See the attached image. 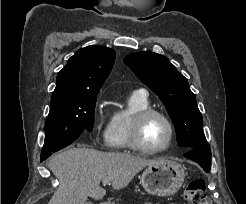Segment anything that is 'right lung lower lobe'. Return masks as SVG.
<instances>
[{"label":"right lung lower lobe","instance_id":"1","mask_svg":"<svg viewBox=\"0 0 246 204\" xmlns=\"http://www.w3.org/2000/svg\"><path fill=\"white\" fill-rule=\"evenodd\" d=\"M46 158H48V157H41V161L45 160Z\"/></svg>","mask_w":246,"mask_h":204}]
</instances>
